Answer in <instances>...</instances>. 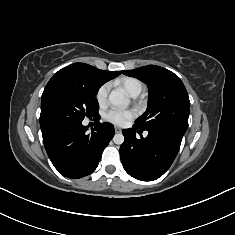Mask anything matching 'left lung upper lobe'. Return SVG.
<instances>
[{
    "mask_svg": "<svg viewBox=\"0 0 235 235\" xmlns=\"http://www.w3.org/2000/svg\"><path fill=\"white\" fill-rule=\"evenodd\" d=\"M121 72L138 78L149 88L148 107L135 121L136 128H171L186 132L190 101L184 84L176 74L155 65Z\"/></svg>",
    "mask_w": 235,
    "mask_h": 235,
    "instance_id": "obj_1",
    "label": "left lung upper lobe"
}]
</instances>
